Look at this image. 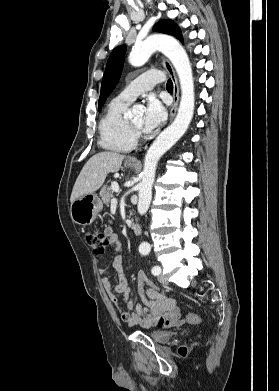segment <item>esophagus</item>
<instances>
[{"label":"esophagus","instance_id":"esophagus-1","mask_svg":"<svg viewBox=\"0 0 279 391\" xmlns=\"http://www.w3.org/2000/svg\"><path fill=\"white\" fill-rule=\"evenodd\" d=\"M162 64L169 74L172 83H173V104L170 110V120H172L176 114L177 107H178V102H179V85H178V80L175 74V71L171 65V63L166 59L162 58ZM130 162H138V159L136 157H129L127 159Z\"/></svg>","mask_w":279,"mask_h":391}]
</instances>
